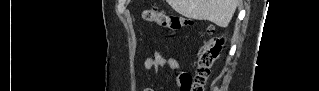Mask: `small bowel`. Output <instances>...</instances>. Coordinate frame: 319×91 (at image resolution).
<instances>
[{"instance_id": "obj_1", "label": "small bowel", "mask_w": 319, "mask_h": 91, "mask_svg": "<svg viewBox=\"0 0 319 91\" xmlns=\"http://www.w3.org/2000/svg\"><path fill=\"white\" fill-rule=\"evenodd\" d=\"M159 67H166L171 70H177L180 67V63L177 58L173 56H167L165 53L157 51L154 57L146 59L145 68L155 69Z\"/></svg>"}]
</instances>
